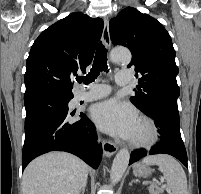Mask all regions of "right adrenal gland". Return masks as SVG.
<instances>
[{
	"label": "right adrenal gland",
	"instance_id": "obj_1",
	"mask_svg": "<svg viewBox=\"0 0 201 194\" xmlns=\"http://www.w3.org/2000/svg\"><path fill=\"white\" fill-rule=\"evenodd\" d=\"M85 188H86V185H84V187L81 189V194L85 193Z\"/></svg>",
	"mask_w": 201,
	"mask_h": 194
}]
</instances>
